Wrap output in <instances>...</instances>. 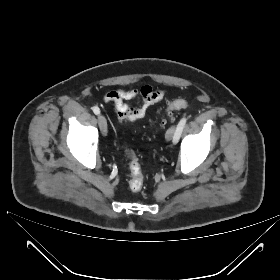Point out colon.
<instances>
[{
  "instance_id": "1",
  "label": "colon",
  "mask_w": 280,
  "mask_h": 280,
  "mask_svg": "<svg viewBox=\"0 0 280 280\" xmlns=\"http://www.w3.org/2000/svg\"><path fill=\"white\" fill-rule=\"evenodd\" d=\"M188 103L185 100H176L171 102L167 108V115L172 116L174 111L186 109ZM131 178L129 180V187L133 192H139L143 188L144 178L138 159L131 154V162L129 166Z\"/></svg>"
}]
</instances>
